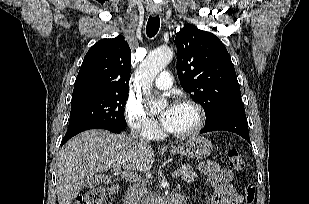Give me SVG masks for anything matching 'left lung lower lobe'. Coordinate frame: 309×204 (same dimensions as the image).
I'll list each match as a JSON object with an SVG mask.
<instances>
[{"mask_svg": "<svg viewBox=\"0 0 309 204\" xmlns=\"http://www.w3.org/2000/svg\"><path fill=\"white\" fill-rule=\"evenodd\" d=\"M218 130L234 132L250 143L244 107L229 108L219 112L211 119L206 120V125L200 133Z\"/></svg>", "mask_w": 309, "mask_h": 204, "instance_id": "1", "label": "left lung lower lobe"}]
</instances>
